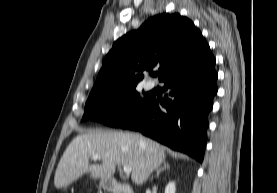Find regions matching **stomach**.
I'll return each instance as SVG.
<instances>
[{
    "label": "stomach",
    "instance_id": "obj_1",
    "mask_svg": "<svg viewBox=\"0 0 277 193\" xmlns=\"http://www.w3.org/2000/svg\"><path fill=\"white\" fill-rule=\"evenodd\" d=\"M100 186L104 189H108L109 186V180L108 179H101Z\"/></svg>",
    "mask_w": 277,
    "mask_h": 193
}]
</instances>
